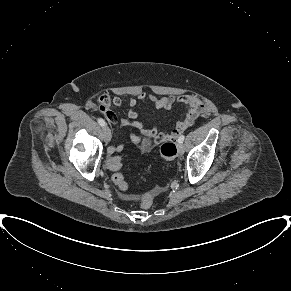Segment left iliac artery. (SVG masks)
<instances>
[{
  "mask_svg": "<svg viewBox=\"0 0 291 291\" xmlns=\"http://www.w3.org/2000/svg\"><path fill=\"white\" fill-rule=\"evenodd\" d=\"M185 139V136L184 135H181L179 138H178V143H183Z\"/></svg>",
  "mask_w": 291,
  "mask_h": 291,
  "instance_id": "obj_1",
  "label": "left iliac artery"
}]
</instances>
